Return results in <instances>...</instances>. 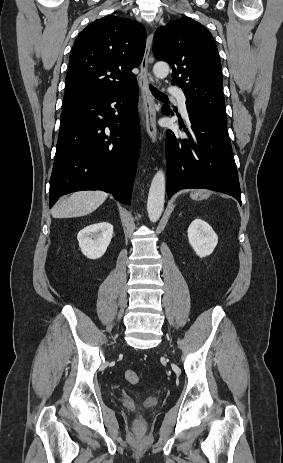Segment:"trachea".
<instances>
[{
  "label": "trachea",
  "instance_id": "obj_1",
  "mask_svg": "<svg viewBox=\"0 0 283 463\" xmlns=\"http://www.w3.org/2000/svg\"><path fill=\"white\" fill-rule=\"evenodd\" d=\"M150 90L157 99L162 100V101L168 100L167 96L163 94L162 92L158 91L156 88L150 86Z\"/></svg>",
  "mask_w": 283,
  "mask_h": 463
}]
</instances>
